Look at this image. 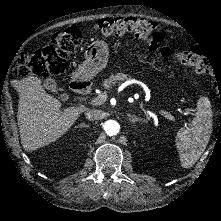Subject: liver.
<instances>
[{
	"label": "liver",
	"instance_id": "1",
	"mask_svg": "<svg viewBox=\"0 0 221 221\" xmlns=\"http://www.w3.org/2000/svg\"><path fill=\"white\" fill-rule=\"evenodd\" d=\"M19 92L17 121L21 144L26 151H34L55 142L88 108L68 107L61 110V102L46 93L38 77L16 81Z\"/></svg>",
	"mask_w": 221,
	"mask_h": 221
}]
</instances>
